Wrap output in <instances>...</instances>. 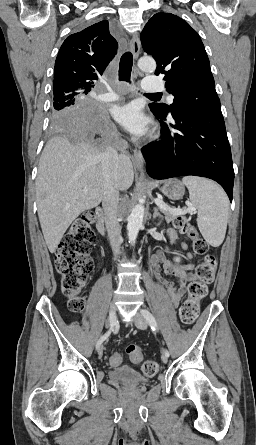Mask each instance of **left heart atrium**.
<instances>
[{"mask_svg": "<svg viewBox=\"0 0 256 445\" xmlns=\"http://www.w3.org/2000/svg\"><path fill=\"white\" fill-rule=\"evenodd\" d=\"M113 117L125 130L135 135L146 133L149 127L148 118L136 103L116 107L113 110Z\"/></svg>", "mask_w": 256, "mask_h": 445, "instance_id": "left-heart-atrium-1", "label": "left heart atrium"}]
</instances>
